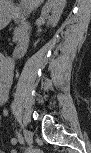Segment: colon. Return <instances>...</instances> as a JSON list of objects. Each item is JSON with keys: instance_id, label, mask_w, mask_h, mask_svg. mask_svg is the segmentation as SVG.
<instances>
[{"instance_id": "colon-1", "label": "colon", "mask_w": 91, "mask_h": 153, "mask_svg": "<svg viewBox=\"0 0 91 153\" xmlns=\"http://www.w3.org/2000/svg\"><path fill=\"white\" fill-rule=\"evenodd\" d=\"M25 152H27V153H35L36 150L33 149V148H26V149H25Z\"/></svg>"}]
</instances>
